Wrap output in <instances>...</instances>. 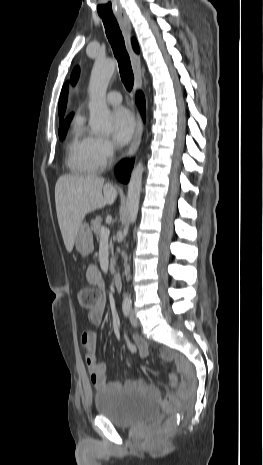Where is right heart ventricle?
I'll use <instances>...</instances> for the list:
<instances>
[{
  "mask_svg": "<svg viewBox=\"0 0 263 465\" xmlns=\"http://www.w3.org/2000/svg\"><path fill=\"white\" fill-rule=\"evenodd\" d=\"M66 163L71 171L80 174H93L104 166L96 154V137L84 128L80 120L73 123L70 131Z\"/></svg>",
  "mask_w": 263,
  "mask_h": 465,
  "instance_id": "right-heart-ventricle-1",
  "label": "right heart ventricle"
}]
</instances>
